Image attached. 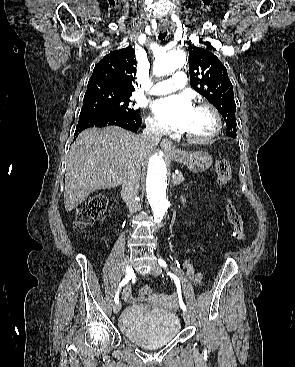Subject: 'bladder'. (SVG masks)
Here are the masks:
<instances>
[{"mask_svg":"<svg viewBox=\"0 0 295 367\" xmlns=\"http://www.w3.org/2000/svg\"><path fill=\"white\" fill-rule=\"evenodd\" d=\"M119 326L127 339L148 349L168 344L180 331L179 318L173 311L150 303L129 305Z\"/></svg>","mask_w":295,"mask_h":367,"instance_id":"1","label":"bladder"}]
</instances>
